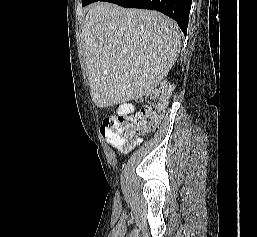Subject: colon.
I'll return each mask as SVG.
<instances>
[{"mask_svg": "<svg viewBox=\"0 0 257 237\" xmlns=\"http://www.w3.org/2000/svg\"><path fill=\"white\" fill-rule=\"evenodd\" d=\"M172 86L164 83L148 98V104L135 115L117 113L104 119L100 134L107 141H127L154 130L169 103Z\"/></svg>", "mask_w": 257, "mask_h": 237, "instance_id": "colon-1", "label": "colon"}]
</instances>
